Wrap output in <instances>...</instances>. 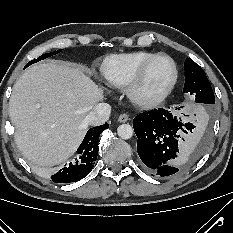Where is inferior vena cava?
Segmentation results:
<instances>
[{"label": "inferior vena cava", "instance_id": "obj_1", "mask_svg": "<svg viewBox=\"0 0 233 233\" xmlns=\"http://www.w3.org/2000/svg\"><path fill=\"white\" fill-rule=\"evenodd\" d=\"M111 106L107 103H99L87 115L86 121L89 125L98 126L104 124L110 115Z\"/></svg>", "mask_w": 233, "mask_h": 233}]
</instances>
